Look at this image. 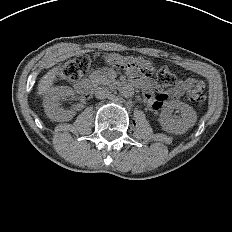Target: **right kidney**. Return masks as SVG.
Masks as SVG:
<instances>
[{
	"label": "right kidney",
	"instance_id": "ca27d5eb",
	"mask_svg": "<svg viewBox=\"0 0 232 232\" xmlns=\"http://www.w3.org/2000/svg\"><path fill=\"white\" fill-rule=\"evenodd\" d=\"M74 95V91L68 86L51 87L43 99V107L49 119L57 122L70 121L76 114L75 110H65L60 101Z\"/></svg>",
	"mask_w": 232,
	"mask_h": 232
}]
</instances>
